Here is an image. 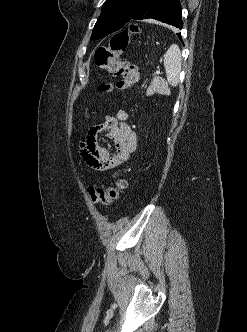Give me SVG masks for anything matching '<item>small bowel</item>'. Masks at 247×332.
<instances>
[{"label":"small bowel","mask_w":247,"mask_h":332,"mask_svg":"<svg viewBox=\"0 0 247 332\" xmlns=\"http://www.w3.org/2000/svg\"><path fill=\"white\" fill-rule=\"evenodd\" d=\"M125 111H118L114 116H106L102 124L92 126L82 143V157L85 163L94 170L104 171L117 166L122 161L128 160L131 153L136 149V134L125 123L127 119ZM100 133L112 141L117 155L112 157L109 151L99 141Z\"/></svg>","instance_id":"c3829d8e"}]
</instances>
